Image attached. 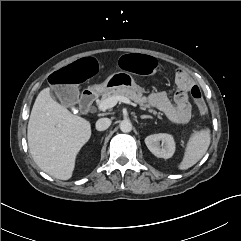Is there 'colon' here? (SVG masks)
Listing matches in <instances>:
<instances>
[{
	"mask_svg": "<svg viewBox=\"0 0 241 241\" xmlns=\"http://www.w3.org/2000/svg\"><path fill=\"white\" fill-rule=\"evenodd\" d=\"M118 67L123 71L137 70L141 74H151L159 67L158 60L147 53L132 52L123 54L117 60ZM100 62L92 57L82 61H74L64 68L52 71L46 76L47 88H52L60 105L68 110L76 108L81 100L78 87L83 86L87 79L97 78L101 73ZM192 97L201 114L206 105L198 88L192 90Z\"/></svg>",
	"mask_w": 241,
	"mask_h": 241,
	"instance_id": "1",
	"label": "colon"
}]
</instances>
